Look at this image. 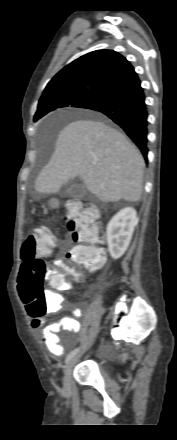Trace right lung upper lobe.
<instances>
[{
	"mask_svg": "<svg viewBox=\"0 0 177 440\" xmlns=\"http://www.w3.org/2000/svg\"><path fill=\"white\" fill-rule=\"evenodd\" d=\"M138 78L125 57L112 50L87 53L58 72L46 86L39 102L61 92L104 95Z\"/></svg>",
	"mask_w": 177,
	"mask_h": 440,
	"instance_id": "obj_1",
	"label": "right lung upper lobe"
}]
</instances>
